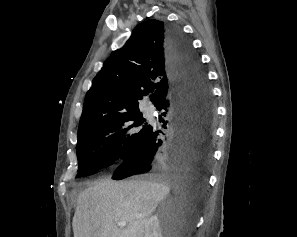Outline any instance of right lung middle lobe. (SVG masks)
I'll return each mask as SVG.
<instances>
[{
    "instance_id": "right-lung-middle-lobe-1",
    "label": "right lung middle lobe",
    "mask_w": 297,
    "mask_h": 237,
    "mask_svg": "<svg viewBox=\"0 0 297 237\" xmlns=\"http://www.w3.org/2000/svg\"><path fill=\"white\" fill-rule=\"evenodd\" d=\"M152 126L141 112L112 116L78 135L77 177L93 174L130 155L146 138Z\"/></svg>"
}]
</instances>
